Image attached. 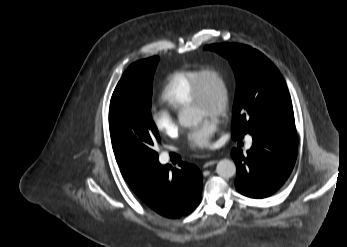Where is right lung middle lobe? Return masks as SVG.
<instances>
[{"mask_svg":"<svg viewBox=\"0 0 347 247\" xmlns=\"http://www.w3.org/2000/svg\"><path fill=\"white\" fill-rule=\"evenodd\" d=\"M158 61L154 56L130 65L113 92L109 110L113 148L148 168L159 162L155 146L160 136L150 113Z\"/></svg>","mask_w":347,"mask_h":247,"instance_id":"obj_1","label":"right lung middle lobe"}]
</instances>
